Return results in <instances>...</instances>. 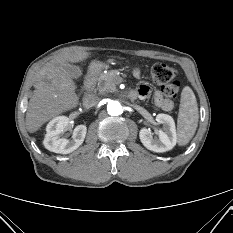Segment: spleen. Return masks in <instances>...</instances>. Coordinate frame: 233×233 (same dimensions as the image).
Returning a JSON list of instances; mask_svg holds the SVG:
<instances>
[{
	"label": "spleen",
	"instance_id": "3e777b00",
	"mask_svg": "<svg viewBox=\"0 0 233 233\" xmlns=\"http://www.w3.org/2000/svg\"><path fill=\"white\" fill-rule=\"evenodd\" d=\"M198 106L196 97L189 86H185L181 93V102L177 119V141L185 146L194 136L198 126Z\"/></svg>",
	"mask_w": 233,
	"mask_h": 233
}]
</instances>
